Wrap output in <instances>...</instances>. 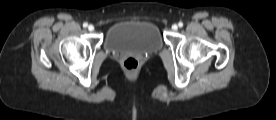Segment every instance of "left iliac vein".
<instances>
[{
  "instance_id": "obj_1",
  "label": "left iliac vein",
  "mask_w": 276,
  "mask_h": 120,
  "mask_svg": "<svg viewBox=\"0 0 276 120\" xmlns=\"http://www.w3.org/2000/svg\"><path fill=\"white\" fill-rule=\"evenodd\" d=\"M172 29H173V30H177V29H178V26H177L176 24H173V25H172Z\"/></svg>"
}]
</instances>
